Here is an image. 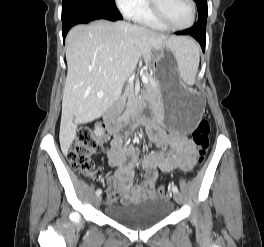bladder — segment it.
Here are the masks:
<instances>
[{"mask_svg":"<svg viewBox=\"0 0 264 247\" xmlns=\"http://www.w3.org/2000/svg\"><path fill=\"white\" fill-rule=\"evenodd\" d=\"M171 210L170 200L151 198L108 206L107 216L120 225L132 229H146L162 222Z\"/></svg>","mask_w":264,"mask_h":247,"instance_id":"bladder-1","label":"bladder"}]
</instances>
